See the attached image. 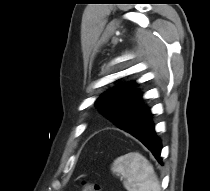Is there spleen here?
I'll list each match as a JSON object with an SVG mask.
<instances>
[{
    "mask_svg": "<svg viewBox=\"0 0 210 191\" xmlns=\"http://www.w3.org/2000/svg\"><path fill=\"white\" fill-rule=\"evenodd\" d=\"M111 170L124 178L123 185L128 191H161L153 166L138 152L118 157Z\"/></svg>",
    "mask_w": 210,
    "mask_h": 191,
    "instance_id": "1",
    "label": "spleen"
}]
</instances>
